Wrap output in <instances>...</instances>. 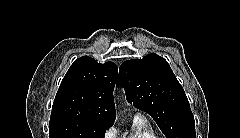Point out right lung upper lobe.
I'll return each instance as SVG.
<instances>
[{"label": "right lung upper lobe", "mask_w": 240, "mask_h": 138, "mask_svg": "<svg viewBox=\"0 0 240 138\" xmlns=\"http://www.w3.org/2000/svg\"><path fill=\"white\" fill-rule=\"evenodd\" d=\"M118 67L113 62L98 63L89 56L78 58L67 71L56 94L51 118L77 117L113 124V89Z\"/></svg>", "instance_id": "cb5924a9"}]
</instances>
